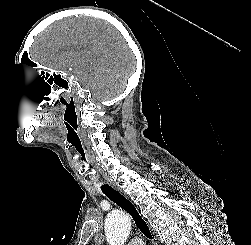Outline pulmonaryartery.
I'll list each match as a JSON object with an SVG mask.
<instances>
[{"instance_id":"e3ab8cb5","label":"pulmonary artery","mask_w":251,"mask_h":245,"mask_svg":"<svg viewBox=\"0 0 251 245\" xmlns=\"http://www.w3.org/2000/svg\"><path fill=\"white\" fill-rule=\"evenodd\" d=\"M128 245H145V243L141 239L134 238L128 243Z\"/></svg>"}]
</instances>
